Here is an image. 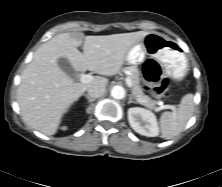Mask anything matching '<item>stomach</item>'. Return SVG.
<instances>
[{"label":"stomach","instance_id":"0dacf381","mask_svg":"<svg viewBox=\"0 0 222 187\" xmlns=\"http://www.w3.org/2000/svg\"><path fill=\"white\" fill-rule=\"evenodd\" d=\"M146 56L156 58L169 77L182 80L188 72V60L179 44L166 35L149 32L128 52L126 61L132 65L142 63Z\"/></svg>","mask_w":222,"mask_h":187}]
</instances>
